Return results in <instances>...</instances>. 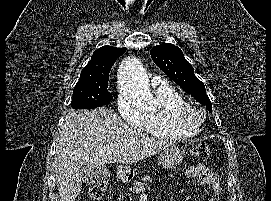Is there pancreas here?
<instances>
[{
    "label": "pancreas",
    "instance_id": "1",
    "mask_svg": "<svg viewBox=\"0 0 271 201\" xmlns=\"http://www.w3.org/2000/svg\"><path fill=\"white\" fill-rule=\"evenodd\" d=\"M148 182H152L151 178L146 175L141 178V182H136L133 186V189L131 190V193H129V196H136L143 192L145 190V186H147Z\"/></svg>",
    "mask_w": 271,
    "mask_h": 201
}]
</instances>
